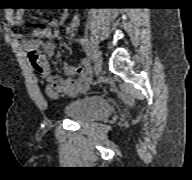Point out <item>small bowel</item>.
<instances>
[{
	"label": "small bowel",
	"instance_id": "small-bowel-1",
	"mask_svg": "<svg viewBox=\"0 0 192 180\" xmlns=\"http://www.w3.org/2000/svg\"><path fill=\"white\" fill-rule=\"evenodd\" d=\"M23 14L22 10L16 11L12 16L13 24H22ZM57 25V20H52L49 26L35 30L33 38L23 41V47L28 52L33 68L44 78L48 95L55 99L60 97L69 98L84 92L88 89L91 81V72L87 59L82 60L76 67L65 65L64 72L68 76L67 78L54 75L52 67L46 58L52 56L55 52V45L51 39L53 36L52 27ZM78 26L79 18L73 16L66 28L67 35L74 37L77 34Z\"/></svg>",
	"mask_w": 192,
	"mask_h": 180
}]
</instances>
